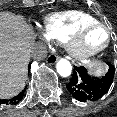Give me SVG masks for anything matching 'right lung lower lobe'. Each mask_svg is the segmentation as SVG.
<instances>
[{"instance_id": "1", "label": "right lung lower lobe", "mask_w": 117, "mask_h": 117, "mask_svg": "<svg viewBox=\"0 0 117 117\" xmlns=\"http://www.w3.org/2000/svg\"><path fill=\"white\" fill-rule=\"evenodd\" d=\"M29 69H30V65H29ZM24 93H25V89L18 94L17 96L13 97L12 99H0V105L4 104V105H16L18 104L24 97Z\"/></svg>"}]
</instances>
